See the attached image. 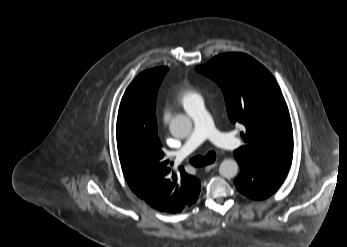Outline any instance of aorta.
Returning a JSON list of instances; mask_svg holds the SVG:
<instances>
[{
	"label": "aorta",
	"instance_id": "aorta-1",
	"mask_svg": "<svg viewBox=\"0 0 347 247\" xmlns=\"http://www.w3.org/2000/svg\"><path fill=\"white\" fill-rule=\"evenodd\" d=\"M171 134L177 138H185L190 135L192 130V121L185 115H177L170 124ZM238 172V163L233 159H225L219 166V173L222 177L231 179Z\"/></svg>",
	"mask_w": 347,
	"mask_h": 247
}]
</instances>
